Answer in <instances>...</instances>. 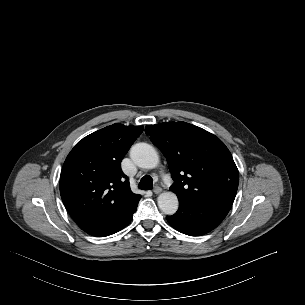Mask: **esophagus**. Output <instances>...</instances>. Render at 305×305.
<instances>
[{"mask_svg": "<svg viewBox=\"0 0 305 305\" xmlns=\"http://www.w3.org/2000/svg\"><path fill=\"white\" fill-rule=\"evenodd\" d=\"M153 192H154V194H156V195H158V194H160L161 192H162V189L160 188V187H155L154 189H153Z\"/></svg>", "mask_w": 305, "mask_h": 305, "instance_id": "34e87169", "label": "esophagus"}]
</instances>
